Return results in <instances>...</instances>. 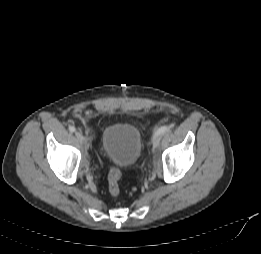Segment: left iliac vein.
Segmentation results:
<instances>
[{
  "mask_svg": "<svg viewBox=\"0 0 261 254\" xmlns=\"http://www.w3.org/2000/svg\"><path fill=\"white\" fill-rule=\"evenodd\" d=\"M160 144V135H157L154 137L152 145H153V149H156Z\"/></svg>",
  "mask_w": 261,
  "mask_h": 254,
  "instance_id": "1",
  "label": "left iliac vein"
}]
</instances>
